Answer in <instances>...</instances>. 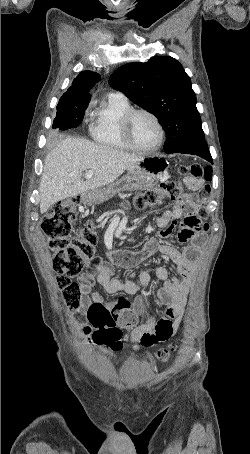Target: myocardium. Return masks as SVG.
<instances>
[{
  "instance_id": "1",
  "label": "myocardium",
  "mask_w": 250,
  "mask_h": 454,
  "mask_svg": "<svg viewBox=\"0 0 250 454\" xmlns=\"http://www.w3.org/2000/svg\"><path fill=\"white\" fill-rule=\"evenodd\" d=\"M141 114L150 117L154 121V123L158 129V132H159L158 141L150 148H141V147L137 146L132 138V131H131L132 122L137 115H141ZM120 130H121L122 138H123L124 142L126 143V145L131 150L142 153V154H150V153L157 151L162 146V144L165 140V129H164L160 119L158 118V116L155 113H153L150 110L144 109V108H132L129 111H127L120 119Z\"/></svg>"
}]
</instances>
